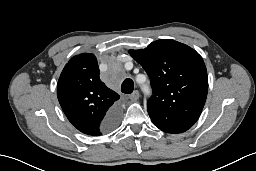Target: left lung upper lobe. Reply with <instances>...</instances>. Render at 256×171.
Instances as JSON below:
<instances>
[{"label":"left lung upper lobe","mask_w":256,"mask_h":171,"mask_svg":"<svg viewBox=\"0 0 256 171\" xmlns=\"http://www.w3.org/2000/svg\"><path fill=\"white\" fill-rule=\"evenodd\" d=\"M129 54L145 69L153 95L147 111L154 125L167 133H182L198 120L208 92L202 57L189 46L161 39Z\"/></svg>","instance_id":"left-lung-upper-lobe-1"}]
</instances>
